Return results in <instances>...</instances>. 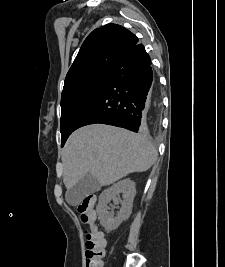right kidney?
<instances>
[{"mask_svg":"<svg viewBox=\"0 0 225 267\" xmlns=\"http://www.w3.org/2000/svg\"><path fill=\"white\" fill-rule=\"evenodd\" d=\"M123 194L122 207L120 208L116 217H113L107 211L108 203L113 200L115 204L119 203V194ZM136 194L134 181L129 178L123 179L110 188L104 190L99 196L98 206L96 208L100 224L108 232L113 231L132 213L133 200Z\"/></svg>","mask_w":225,"mask_h":267,"instance_id":"ca27d5eb","label":"right kidney"}]
</instances>
